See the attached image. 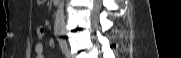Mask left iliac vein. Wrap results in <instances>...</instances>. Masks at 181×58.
<instances>
[{
  "label": "left iliac vein",
  "instance_id": "4c4485c4",
  "mask_svg": "<svg viewBox=\"0 0 181 58\" xmlns=\"http://www.w3.org/2000/svg\"><path fill=\"white\" fill-rule=\"evenodd\" d=\"M66 57H67V58H72V57H71V54H70V52H69L68 49H67V52H66Z\"/></svg>",
  "mask_w": 181,
  "mask_h": 58
}]
</instances>
